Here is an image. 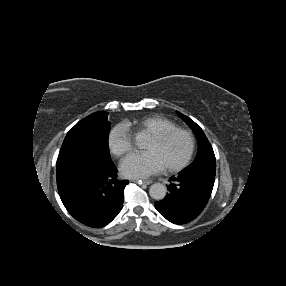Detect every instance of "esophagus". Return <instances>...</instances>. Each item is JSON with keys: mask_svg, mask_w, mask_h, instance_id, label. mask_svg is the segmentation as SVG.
<instances>
[{"mask_svg": "<svg viewBox=\"0 0 286 286\" xmlns=\"http://www.w3.org/2000/svg\"><path fill=\"white\" fill-rule=\"evenodd\" d=\"M138 184H144V185H149L151 184L153 181L152 180H149V179H142V180H139V181H136Z\"/></svg>", "mask_w": 286, "mask_h": 286, "instance_id": "1", "label": "esophagus"}]
</instances>
